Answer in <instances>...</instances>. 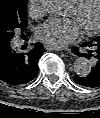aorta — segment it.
Segmentation results:
<instances>
[{
	"label": "aorta",
	"mask_w": 100,
	"mask_h": 118,
	"mask_svg": "<svg viewBox=\"0 0 100 118\" xmlns=\"http://www.w3.org/2000/svg\"><path fill=\"white\" fill-rule=\"evenodd\" d=\"M46 11L55 17L66 16L69 12V6L66 0H46L44 3ZM91 63L85 57H78L74 61V72L81 77L87 76L91 72Z\"/></svg>",
	"instance_id": "762f6f07"
}]
</instances>
